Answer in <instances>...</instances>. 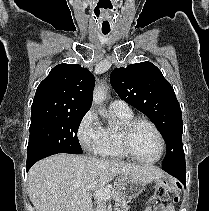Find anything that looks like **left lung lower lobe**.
<instances>
[{
	"label": "left lung lower lobe",
	"instance_id": "1",
	"mask_svg": "<svg viewBox=\"0 0 209 211\" xmlns=\"http://www.w3.org/2000/svg\"><path fill=\"white\" fill-rule=\"evenodd\" d=\"M164 171L169 173L170 175L174 176L177 178L185 187H186V169H185V164L178 165L175 167H162Z\"/></svg>",
	"mask_w": 209,
	"mask_h": 211
}]
</instances>
